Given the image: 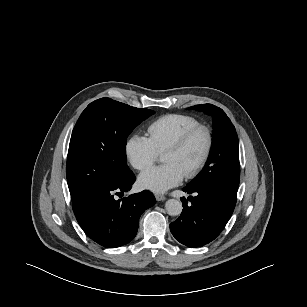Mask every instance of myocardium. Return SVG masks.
<instances>
[{
	"instance_id": "1",
	"label": "myocardium",
	"mask_w": 307,
	"mask_h": 307,
	"mask_svg": "<svg viewBox=\"0 0 307 307\" xmlns=\"http://www.w3.org/2000/svg\"><path fill=\"white\" fill-rule=\"evenodd\" d=\"M197 132H203L206 138V146L204 149V152L201 156V158L198 160V162L189 170L184 177L187 179H191L195 177L199 171L204 167L206 162L208 161L211 151L213 149V133L211 129L203 124H197L186 131H184L177 139H175L163 152H176L179 151L184 147V145L191 139L193 135H195Z\"/></svg>"
}]
</instances>
